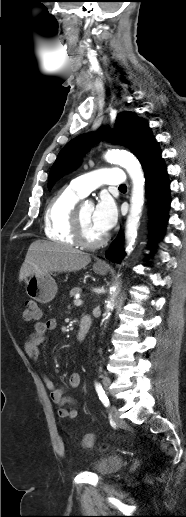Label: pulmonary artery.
I'll use <instances>...</instances> for the list:
<instances>
[{"mask_svg":"<svg viewBox=\"0 0 186 517\" xmlns=\"http://www.w3.org/2000/svg\"><path fill=\"white\" fill-rule=\"evenodd\" d=\"M125 174L122 169L102 168L81 175L70 182V186L83 197L101 185H123Z\"/></svg>","mask_w":186,"mask_h":517,"instance_id":"obj_1","label":"pulmonary artery"}]
</instances>
